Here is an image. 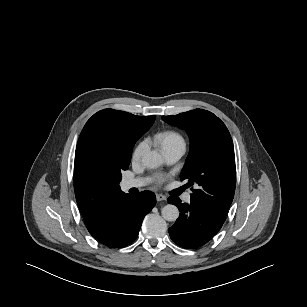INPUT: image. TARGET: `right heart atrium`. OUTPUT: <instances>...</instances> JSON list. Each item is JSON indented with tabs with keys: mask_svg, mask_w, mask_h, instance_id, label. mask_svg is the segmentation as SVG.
Segmentation results:
<instances>
[{
	"mask_svg": "<svg viewBox=\"0 0 307 307\" xmlns=\"http://www.w3.org/2000/svg\"><path fill=\"white\" fill-rule=\"evenodd\" d=\"M146 147H147L146 142H145V141H141V142L135 147V149H134V151H133V153H132V158H133L134 160L139 159V158L143 155L144 151L146 150Z\"/></svg>",
	"mask_w": 307,
	"mask_h": 307,
	"instance_id": "1",
	"label": "right heart atrium"
}]
</instances>
